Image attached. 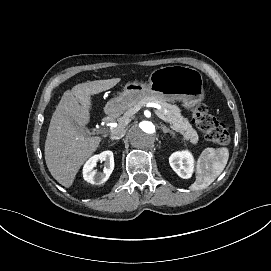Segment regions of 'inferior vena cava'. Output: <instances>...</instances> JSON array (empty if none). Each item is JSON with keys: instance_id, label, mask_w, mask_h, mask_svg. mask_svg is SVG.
Here are the masks:
<instances>
[{"instance_id": "1", "label": "inferior vena cava", "mask_w": 271, "mask_h": 271, "mask_svg": "<svg viewBox=\"0 0 271 271\" xmlns=\"http://www.w3.org/2000/svg\"><path fill=\"white\" fill-rule=\"evenodd\" d=\"M125 135L124 129H114L111 134L112 140L121 139Z\"/></svg>"}]
</instances>
